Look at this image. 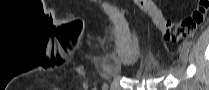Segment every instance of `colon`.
I'll return each mask as SVG.
<instances>
[{"mask_svg":"<svg viewBox=\"0 0 209 90\" xmlns=\"http://www.w3.org/2000/svg\"><path fill=\"white\" fill-rule=\"evenodd\" d=\"M138 4L160 31L163 39L170 42L192 37L196 29L205 22L209 12V0H199L190 15L179 22H172L163 17L151 0H141Z\"/></svg>","mask_w":209,"mask_h":90,"instance_id":"obj_1","label":"colon"}]
</instances>
